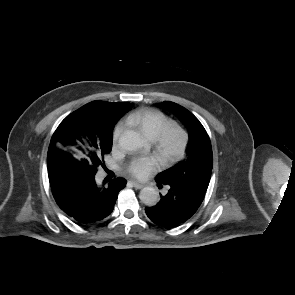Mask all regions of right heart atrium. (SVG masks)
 Instances as JSON below:
<instances>
[{
	"instance_id": "1",
	"label": "right heart atrium",
	"mask_w": 295,
	"mask_h": 295,
	"mask_svg": "<svg viewBox=\"0 0 295 295\" xmlns=\"http://www.w3.org/2000/svg\"><path fill=\"white\" fill-rule=\"evenodd\" d=\"M123 131V125L119 124L115 127L114 132H113V141L117 142L121 133Z\"/></svg>"
}]
</instances>
